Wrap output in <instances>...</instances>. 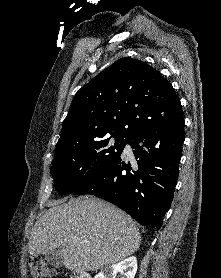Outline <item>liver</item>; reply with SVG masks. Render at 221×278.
<instances>
[{
	"mask_svg": "<svg viewBox=\"0 0 221 278\" xmlns=\"http://www.w3.org/2000/svg\"><path fill=\"white\" fill-rule=\"evenodd\" d=\"M51 205L32 228L30 255L60 248L66 269L97 271L123 261L140 246L132 218L106 201L86 196Z\"/></svg>",
	"mask_w": 221,
	"mask_h": 278,
	"instance_id": "1",
	"label": "liver"
}]
</instances>
